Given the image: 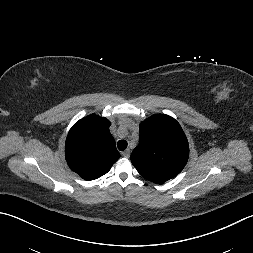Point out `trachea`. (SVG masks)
Returning a JSON list of instances; mask_svg holds the SVG:
<instances>
[{"mask_svg": "<svg viewBox=\"0 0 253 253\" xmlns=\"http://www.w3.org/2000/svg\"><path fill=\"white\" fill-rule=\"evenodd\" d=\"M117 147L120 151H124L127 148V141L126 140H119L117 143Z\"/></svg>", "mask_w": 253, "mask_h": 253, "instance_id": "obj_1", "label": "trachea"}]
</instances>
